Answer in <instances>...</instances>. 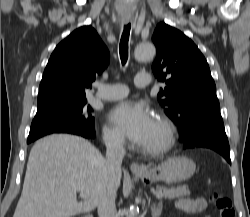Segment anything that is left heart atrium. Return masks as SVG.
Here are the masks:
<instances>
[{"instance_id": "obj_1", "label": "left heart atrium", "mask_w": 250, "mask_h": 217, "mask_svg": "<svg viewBox=\"0 0 250 217\" xmlns=\"http://www.w3.org/2000/svg\"><path fill=\"white\" fill-rule=\"evenodd\" d=\"M110 121L134 143L143 145L152 128L154 118L142 104L124 101L109 114Z\"/></svg>"}]
</instances>
